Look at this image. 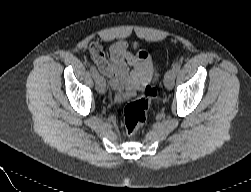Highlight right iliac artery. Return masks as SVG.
Instances as JSON below:
<instances>
[{
    "instance_id": "right-iliac-artery-1",
    "label": "right iliac artery",
    "mask_w": 251,
    "mask_h": 192,
    "mask_svg": "<svg viewBox=\"0 0 251 192\" xmlns=\"http://www.w3.org/2000/svg\"><path fill=\"white\" fill-rule=\"evenodd\" d=\"M89 66H90V72L92 74V77L94 79H97V77L99 76V73H98L96 67L94 65H92V64H90Z\"/></svg>"
}]
</instances>
